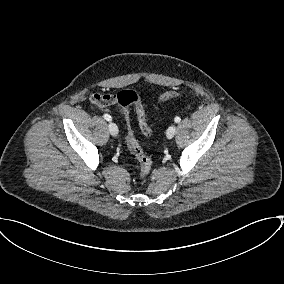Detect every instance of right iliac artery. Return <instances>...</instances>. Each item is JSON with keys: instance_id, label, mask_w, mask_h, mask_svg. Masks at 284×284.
<instances>
[{"instance_id": "82829eb1", "label": "right iliac artery", "mask_w": 284, "mask_h": 284, "mask_svg": "<svg viewBox=\"0 0 284 284\" xmlns=\"http://www.w3.org/2000/svg\"><path fill=\"white\" fill-rule=\"evenodd\" d=\"M103 117H104L105 120H107V121H111V120H112L111 116L108 115V114H104Z\"/></svg>"}]
</instances>
